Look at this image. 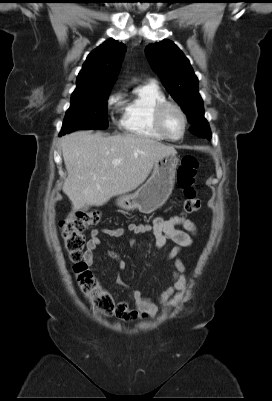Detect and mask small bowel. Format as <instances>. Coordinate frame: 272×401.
Masks as SVG:
<instances>
[{
  "label": "small bowel",
  "mask_w": 272,
  "mask_h": 401,
  "mask_svg": "<svg viewBox=\"0 0 272 401\" xmlns=\"http://www.w3.org/2000/svg\"><path fill=\"white\" fill-rule=\"evenodd\" d=\"M195 233V224L191 220L178 215L170 218L158 216L151 223H131L127 227L94 229L91 231L83 259L88 266L93 265L94 254L101 244L102 234L112 238H128L132 245H135V240L130 234H152L154 245L158 250H162L168 241L176 245L166 255L168 259H175L176 270L172 273L171 284L158 295L157 299L155 301L146 299L140 291L133 290L130 293V297L134 302L135 308H131L127 301L118 303L120 309L118 317L125 321H136L145 318L147 315L155 314L158 311L156 302L163 304L165 307H172L181 300L186 277L185 265L178 256L183 249L192 245V237ZM109 254L116 259L118 271L125 270V261L118 259L115 251H110ZM117 282L119 285L126 287V284L119 277Z\"/></svg>",
  "instance_id": "small-bowel-1"
}]
</instances>
